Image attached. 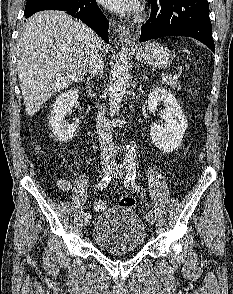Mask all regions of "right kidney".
Segmentation results:
<instances>
[{
  "instance_id": "obj_1",
  "label": "right kidney",
  "mask_w": 233,
  "mask_h": 294,
  "mask_svg": "<svg viewBox=\"0 0 233 294\" xmlns=\"http://www.w3.org/2000/svg\"><path fill=\"white\" fill-rule=\"evenodd\" d=\"M78 96V90L71 89L59 95L52 106L50 124L54 135L60 141H69L79 125V120L72 123L65 120V116L71 113L72 107L77 102Z\"/></svg>"
}]
</instances>
